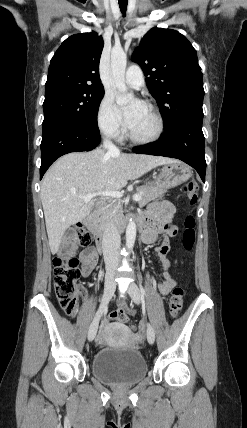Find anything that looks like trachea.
<instances>
[{
    "mask_svg": "<svg viewBox=\"0 0 247 428\" xmlns=\"http://www.w3.org/2000/svg\"><path fill=\"white\" fill-rule=\"evenodd\" d=\"M120 11L122 12L123 16H125L126 10H127V2L126 3H120L119 2Z\"/></svg>",
    "mask_w": 247,
    "mask_h": 428,
    "instance_id": "obj_1",
    "label": "trachea"
}]
</instances>
